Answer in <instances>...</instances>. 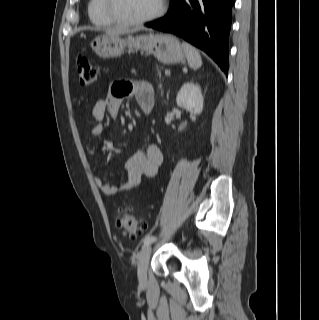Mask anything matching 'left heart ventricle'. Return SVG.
Wrapping results in <instances>:
<instances>
[{"label":"left heart ventricle","mask_w":319,"mask_h":320,"mask_svg":"<svg viewBox=\"0 0 319 320\" xmlns=\"http://www.w3.org/2000/svg\"><path fill=\"white\" fill-rule=\"evenodd\" d=\"M160 0H113V8L123 18L135 19L154 13Z\"/></svg>","instance_id":"b2bd125f"}]
</instances>
